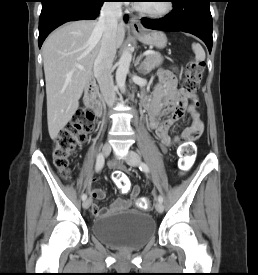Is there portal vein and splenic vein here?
<instances>
[{
  "label": "portal vein and splenic vein",
  "instance_id": "obj_1",
  "mask_svg": "<svg viewBox=\"0 0 258 275\" xmlns=\"http://www.w3.org/2000/svg\"><path fill=\"white\" fill-rule=\"evenodd\" d=\"M154 53H155L154 51L147 50L143 53V56H147V55L154 54Z\"/></svg>",
  "mask_w": 258,
  "mask_h": 275
}]
</instances>
